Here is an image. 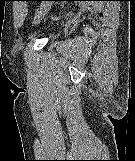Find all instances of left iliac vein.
Wrapping results in <instances>:
<instances>
[{
  "instance_id": "obj_1",
  "label": "left iliac vein",
  "mask_w": 135,
  "mask_h": 161,
  "mask_svg": "<svg viewBox=\"0 0 135 161\" xmlns=\"http://www.w3.org/2000/svg\"><path fill=\"white\" fill-rule=\"evenodd\" d=\"M52 1H43L40 7L36 11V15L34 18V23L37 24L49 11L51 7Z\"/></svg>"
}]
</instances>
